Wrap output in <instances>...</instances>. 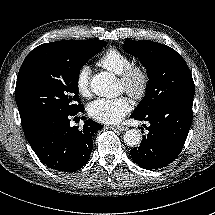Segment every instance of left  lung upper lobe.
Returning a JSON list of instances; mask_svg holds the SVG:
<instances>
[{
    "label": "left lung upper lobe",
    "mask_w": 215,
    "mask_h": 215,
    "mask_svg": "<svg viewBox=\"0 0 215 215\" xmlns=\"http://www.w3.org/2000/svg\"><path fill=\"white\" fill-rule=\"evenodd\" d=\"M123 49L138 57L149 77L146 95L132 115H146L162 104L194 97L195 86L191 72L174 49L147 40H126Z\"/></svg>",
    "instance_id": "1"
}]
</instances>
